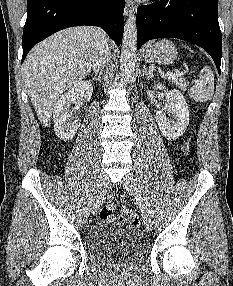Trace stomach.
I'll list each match as a JSON object with an SVG mask.
<instances>
[{
  "label": "stomach",
  "instance_id": "1",
  "mask_svg": "<svg viewBox=\"0 0 233 286\" xmlns=\"http://www.w3.org/2000/svg\"><path fill=\"white\" fill-rule=\"evenodd\" d=\"M176 57L177 50L174 44L167 39H163L146 48L144 60L147 63L164 65L172 63Z\"/></svg>",
  "mask_w": 233,
  "mask_h": 286
}]
</instances>
